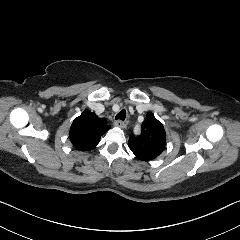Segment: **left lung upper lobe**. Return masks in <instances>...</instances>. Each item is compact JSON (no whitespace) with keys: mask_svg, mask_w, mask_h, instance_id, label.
Returning <instances> with one entry per match:
<instances>
[{"mask_svg":"<svg viewBox=\"0 0 240 240\" xmlns=\"http://www.w3.org/2000/svg\"><path fill=\"white\" fill-rule=\"evenodd\" d=\"M166 133L161 122L148 113L142 123V131L139 136L133 134L129 139V148L134 155L141 160H151L159 156L164 148Z\"/></svg>","mask_w":240,"mask_h":240,"instance_id":"left-lung-upper-lobe-1","label":"left lung upper lobe"}]
</instances>
